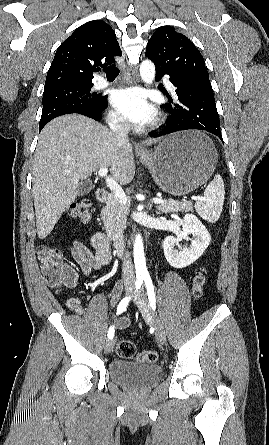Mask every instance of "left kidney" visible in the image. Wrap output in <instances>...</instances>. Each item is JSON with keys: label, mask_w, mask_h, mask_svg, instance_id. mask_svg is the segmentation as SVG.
Returning a JSON list of instances; mask_svg holds the SVG:
<instances>
[{"label": "left kidney", "mask_w": 269, "mask_h": 445, "mask_svg": "<svg viewBox=\"0 0 269 445\" xmlns=\"http://www.w3.org/2000/svg\"><path fill=\"white\" fill-rule=\"evenodd\" d=\"M193 235L188 247L181 250L174 248L179 241ZM211 236L202 222L193 214L185 215L182 231L176 236H167L163 242L164 255L168 263L175 268H184L196 261L210 244Z\"/></svg>", "instance_id": "obj_1"}]
</instances>
